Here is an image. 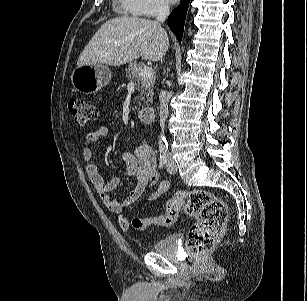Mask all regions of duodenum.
Segmentation results:
<instances>
[{
  "label": "duodenum",
  "mask_w": 307,
  "mask_h": 301,
  "mask_svg": "<svg viewBox=\"0 0 307 301\" xmlns=\"http://www.w3.org/2000/svg\"><path fill=\"white\" fill-rule=\"evenodd\" d=\"M154 119H155L154 107L143 108L138 113V120L142 124L149 125L154 122Z\"/></svg>",
  "instance_id": "410a0bca"
}]
</instances>
